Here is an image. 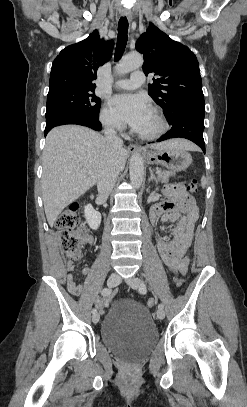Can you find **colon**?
I'll return each mask as SVG.
<instances>
[{
  "instance_id": "obj_1",
  "label": "colon",
  "mask_w": 247,
  "mask_h": 407,
  "mask_svg": "<svg viewBox=\"0 0 247 407\" xmlns=\"http://www.w3.org/2000/svg\"><path fill=\"white\" fill-rule=\"evenodd\" d=\"M190 193L198 191L197 179H192L187 184ZM56 230L66 256L70 259L79 260L82 256L81 246L87 235V229L81 223L78 203L67 206L59 215L56 221ZM183 278L178 275L174 278V285L181 287ZM156 300L150 298L147 301L149 307L154 306Z\"/></svg>"
}]
</instances>
